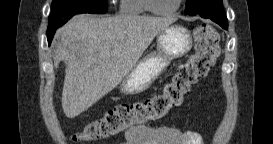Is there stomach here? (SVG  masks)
Wrapping results in <instances>:
<instances>
[{
    "label": "stomach",
    "instance_id": "0dacf381",
    "mask_svg": "<svg viewBox=\"0 0 273 144\" xmlns=\"http://www.w3.org/2000/svg\"><path fill=\"white\" fill-rule=\"evenodd\" d=\"M156 43V51L143 56L123 79L122 93L136 94L148 89L172 60L190 51L192 36L182 25H172L157 35Z\"/></svg>",
    "mask_w": 273,
    "mask_h": 144
}]
</instances>
